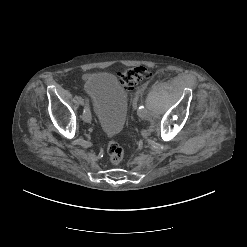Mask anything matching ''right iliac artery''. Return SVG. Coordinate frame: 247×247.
<instances>
[{
  "instance_id": "obj_1",
  "label": "right iliac artery",
  "mask_w": 247,
  "mask_h": 247,
  "mask_svg": "<svg viewBox=\"0 0 247 247\" xmlns=\"http://www.w3.org/2000/svg\"><path fill=\"white\" fill-rule=\"evenodd\" d=\"M78 103L81 105V107H86V105H87V103H86V101H85V99L83 98V97H80L79 99H78Z\"/></svg>"
}]
</instances>
